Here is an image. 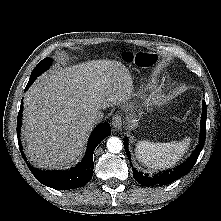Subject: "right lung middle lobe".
I'll return each instance as SVG.
<instances>
[{
    "instance_id": "right-lung-middle-lobe-1",
    "label": "right lung middle lobe",
    "mask_w": 221,
    "mask_h": 221,
    "mask_svg": "<svg viewBox=\"0 0 221 221\" xmlns=\"http://www.w3.org/2000/svg\"><path fill=\"white\" fill-rule=\"evenodd\" d=\"M51 61V58H45L40 63H38L31 73L29 82H33L36 79V77H38L41 73L47 70L51 65Z\"/></svg>"
}]
</instances>
